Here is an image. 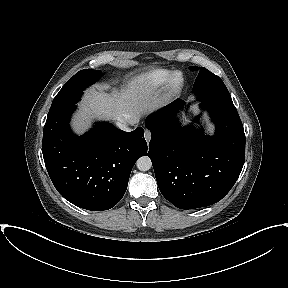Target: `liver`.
Listing matches in <instances>:
<instances>
[{
	"mask_svg": "<svg viewBox=\"0 0 288 288\" xmlns=\"http://www.w3.org/2000/svg\"><path fill=\"white\" fill-rule=\"evenodd\" d=\"M136 81L110 93L101 89L87 90L72 122L75 132L82 134L87 131L93 119L135 125L143 114L159 108L162 104L159 91L150 84H136Z\"/></svg>",
	"mask_w": 288,
	"mask_h": 288,
	"instance_id": "6515ba94",
	"label": "liver"
}]
</instances>
